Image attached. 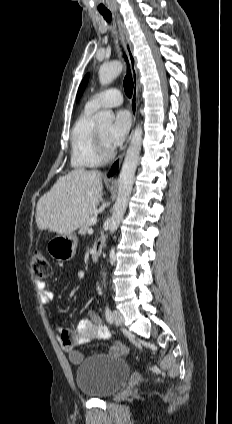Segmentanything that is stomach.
<instances>
[{"label": "stomach", "instance_id": "obj_1", "mask_svg": "<svg viewBox=\"0 0 232 424\" xmlns=\"http://www.w3.org/2000/svg\"><path fill=\"white\" fill-rule=\"evenodd\" d=\"M77 243L76 234H59L49 240L46 250L57 260L68 261L74 256Z\"/></svg>", "mask_w": 232, "mask_h": 424}]
</instances>
